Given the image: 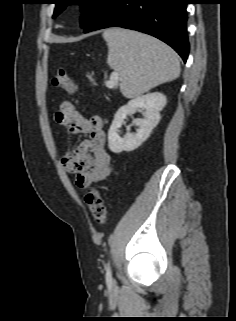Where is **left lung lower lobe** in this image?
<instances>
[{"instance_id":"0a47b994","label":"left lung lower lobe","mask_w":236,"mask_h":321,"mask_svg":"<svg viewBox=\"0 0 236 321\" xmlns=\"http://www.w3.org/2000/svg\"><path fill=\"white\" fill-rule=\"evenodd\" d=\"M189 3L190 0H110L84 33L115 26L140 31L170 45L186 62Z\"/></svg>"}]
</instances>
